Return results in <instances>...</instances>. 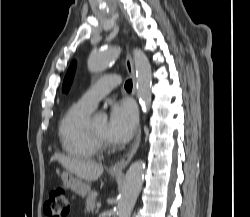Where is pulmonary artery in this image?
Here are the masks:
<instances>
[{"label":"pulmonary artery","mask_w":250,"mask_h":217,"mask_svg":"<svg viewBox=\"0 0 250 217\" xmlns=\"http://www.w3.org/2000/svg\"><path fill=\"white\" fill-rule=\"evenodd\" d=\"M121 83L117 75H105L92 84L82 95L80 101L94 109L100 99L105 97L113 88Z\"/></svg>","instance_id":"obj_1"}]
</instances>
